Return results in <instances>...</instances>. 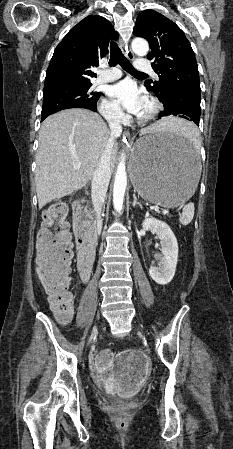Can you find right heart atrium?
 <instances>
[{
	"label": "right heart atrium",
	"mask_w": 233,
	"mask_h": 449,
	"mask_svg": "<svg viewBox=\"0 0 233 449\" xmlns=\"http://www.w3.org/2000/svg\"><path fill=\"white\" fill-rule=\"evenodd\" d=\"M99 110L104 118L114 124H119L124 120V113L119 105L107 98H103L99 104Z\"/></svg>",
	"instance_id": "right-heart-atrium-1"
}]
</instances>
